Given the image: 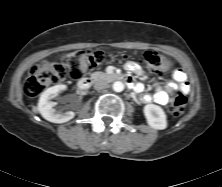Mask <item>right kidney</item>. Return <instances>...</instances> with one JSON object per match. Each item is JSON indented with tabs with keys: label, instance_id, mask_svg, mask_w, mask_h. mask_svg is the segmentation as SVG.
<instances>
[{
	"label": "right kidney",
	"instance_id": "1",
	"mask_svg": "<svg viewBox=\"0 0 222 187\" xmlns=\"http://www.w3.org/2000/svg\"><path fill=\"white\" fill-rule=\"evenodd\" d=\"M64 90H66L65 85H55L42 92L38 102V110L44 119L53 123H65L74 118V112L58 111L55 109L56 102L51 101Z\"/></svg>",
	"mask_w": 222,
	"mask_h": 187
}]
</instances>
